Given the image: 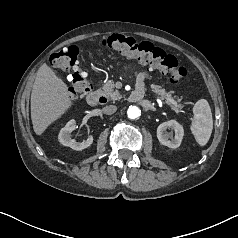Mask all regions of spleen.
I'll return each instance as SVG.
<instances>
[{"mask_svg": "<svg viewBox=\"0 0 238 238\" xmlns=\"http://www.w3.org/2000/svg\"><path fill=\"white\" fill-rule=\"evenodd\" d=\"M193 113L190 129L197 143L204 146L209 141L213 129L212 112L208 101L198 100L193 107Z\"/></svg>", "mask_w": 238, "mask_h": 238, "instance_id": "3e777b00", "label": "spleen"}]
</instances>
